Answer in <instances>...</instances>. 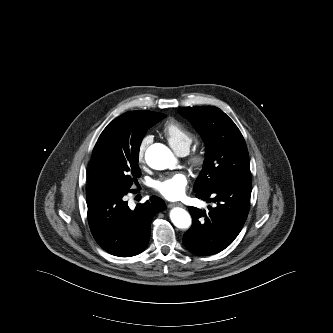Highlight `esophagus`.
Instances as JSON below:
<instances>
[{
	"mask_svg": "<svg viewBox=\"0 0 333 333\" xmlns=\"http://www.w3.org/2000/svg\"><path fill=\"white\" fill-rule=\"evenodd\" d=\"M169 208H172V207H184V205L180 202H176V203H170L168 205Z\"/></svg>",
	"mask_w": 333,
	"mask_h": 333,
	"instance_id": "34e87169",
	"label": "esophagus"
}]
</instances>
